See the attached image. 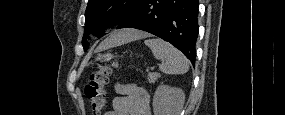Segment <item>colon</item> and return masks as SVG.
<instances>
[{"instance_id":"1","label":"colon","mask_w":285,"mask_h":115,"mask_svg":"<svg viewBox=\"0 0 285 115\" xmlns=\"http://www.w3.org/2000/svg\"><path fill=\"white\" fill-rule=\"evenodd\" d=\"M115 62L100 64L95 72L90 76L89 82L85 86V94L90 103L93 114L100 115L106 105L105 86L108 83L112 68Z\"/></svg>"}]
</instances>
